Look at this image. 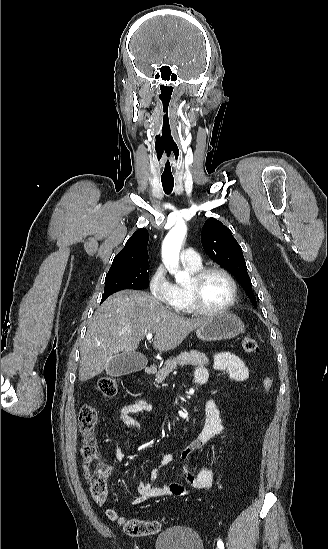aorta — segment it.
Listing matches in <instances>:
<instances>
[{
	"label": "aorta",
	"mask_w": 328,
	"mask_h": 549,
	"mask_svg": "<svg viewBox=\"0 0 328 549\" xmlns=\"http://www.w3.org/2000/svg\"><path fill=\"white\" fill-rule=\"evenodd\" d=\"M187 227L184 222L177 223L167 234L162 245V258L165 265L173 270L179 266V254L183 243ZM189 278L185 271H179L175 274L178 283H182Z\"/></svg>",
	"instance_id": "1"
}]
</instances>
